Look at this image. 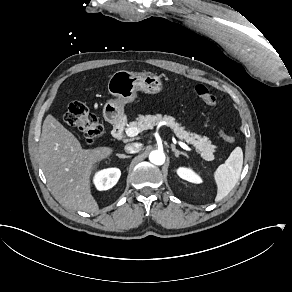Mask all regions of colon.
<instances>
[{
	"instance_id": "1",
	"label": "colon",
	"mask_w": 292,
	"mask_h": 292,
	"mask_svg": "<svg viewBox=\"0 0 292 292\" xmlns=\"http://www.w3.org/2000/svg\"><path fill=\"white\" fill-rule=\"evenodd\" d=\"M195 93L208 106L217 103L215 94L205 85H196ZM66 122L81 129L90 144L95 143L104 132L103 125L99 122L81 101L71 102L64 114ZM220 135L226 142H234L239 137L236 127H224L220 130Z\"/></svg>"
}]
</instances>
